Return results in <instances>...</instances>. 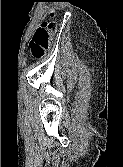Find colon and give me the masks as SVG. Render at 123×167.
Returning <instances> with one entry per match:
<instances>
[{"label":"colon","instance_id":"1","mask_svg":"<svg viewBox=\"0 0 123 167\" xmlns=\"http://www.w3.org/2000/svg\"><path fill=\"white\" fill-rule=\"evenodd\" d=\"M56 29L54 21L44 22L39 26L30 41V56L33 59H39L44 56L46 49L49 46L50 37Z\"/></svg>","mask_w":123,"mask_h":167}]
</instances>
